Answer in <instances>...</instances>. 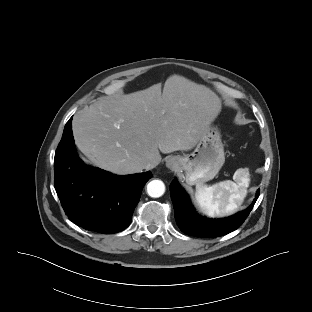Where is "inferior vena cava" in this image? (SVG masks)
Listing matches in <instances>:
<instances>
[{
  "mask_svg": "<svg viewBox=\"0 0 312 312\" xmlns=\"http://www.w3.org/2000/svg\"><path fill=\"white\" fill-rule=\"evenodd\" d=\"M157 165H158V163L156 161H154V160H147L144 163V169L150 170V169L155 168Z\"/></svg>",
  "mask_w": 312,
  "mask_h": 312,
  "instance_id": "602c4592",
  "label": "inferior vena cava"
}]
</instances>
